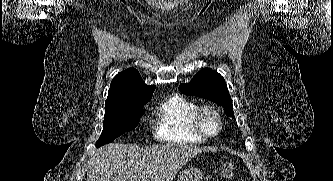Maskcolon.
Returning <instances> with one entry per match:
<instances>
[{
	"label": "colon",
	"instance_id": "5ec220e1",
	"mask_svg": "<svg viewBox=\"0 0 333 181\" xmlns=\"http://www.w3.org/2000/svg\"><path fill=\"white\" fill-rule=\"evenodd\" d=\"M222 175L228 179L233 180L235 176V167L232 162H227L222 166L221 169Z\"/></svg>",
	"mask_w": 333,
	"mask_h": 181
}]
</instances>
